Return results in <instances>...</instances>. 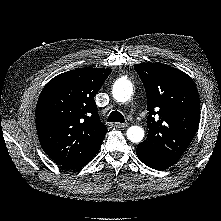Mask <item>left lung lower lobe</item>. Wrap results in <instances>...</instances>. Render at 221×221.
Wrapping results in <instances>:
<instances>
[{"instance_id":"left-lung-lower-lobe-1","label":"left lung lower lobe","mask_w":221,"mask_h":221,"mask_svg":"<svg viewBox=\"0 0 221 221\" xmlns=\"http://www.w3.org/2000/svg\"><path fill=\"white\" fill-rule=\"evenodd\" d=\"M136 154H137L138 158L145 165H147V166H149L153 169L163 170V169H166V168H168L170 166H173L175 164L174 162H170V161H166V160L157 158V157L149 154L145 150L141 149L138 146H137V149H136Z\"/></svg>"}]
</instances>
